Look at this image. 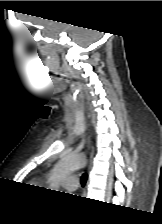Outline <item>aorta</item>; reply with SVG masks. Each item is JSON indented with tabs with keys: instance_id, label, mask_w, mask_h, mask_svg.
Segmentation results:
<instances>
[{
	"instance_id": "762f6f07",
	"label": "aorta",
	"mask_w": 162,
	"mask_h": 224,
	"mask_svg": "<svg viewBox=\"0 0 162 224\" xmlns=\"http://www.w3.org/2000/svg\"><path fill=\"white\" fill-rule=\"evenodd\" d=\"M85 164L86 159L81 154H69L64 156L55 168L50 187L58 188L61 179L80 169Z\"/></svg>"
}]
</instances>
